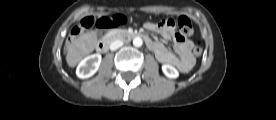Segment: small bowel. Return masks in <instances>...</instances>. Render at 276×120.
<instances>
[{"instance_id": "obj_1", "label": "small bowel", "mask_w": 276, "mask_h": 120, "mask_svg": "<svg viewBox=\"0 0 276 120\" xmlns=\"http://www.w3.org/2000/svg\"><path fill=\"white\" fill-rule=\"evenodd\" d=\"M148 31L160 34L165 40L172 41L174 50L177 54L174 55L160 42L152 41L148 38V47L155 53L156 58L161 63L175 65L182 73H187L194 65V59L191 55V42L180 37L174 27H166L160 24L146 23L144 25Z\"/></svg>"}]
</instances>
